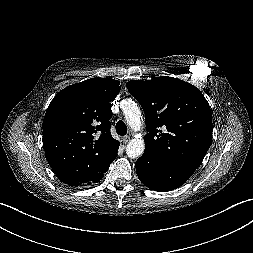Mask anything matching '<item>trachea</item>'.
Masks as SVG:
<instances>
[{"mask_svg": "<svg viewBox=\"0 0 253 253\" xmlns=\"http://www.w3.org/2000/svg\"><path fill=\"white\" fill-rule=\"evenodd\" d=\"M116 132L120 136H124L127 133V126L126 124L120 120L116 123Z\"/></svg>", "mask_w": 253, "mask_h": 253, "instance_id": "trachea-1", "label": "trachea"}]
</instances>
